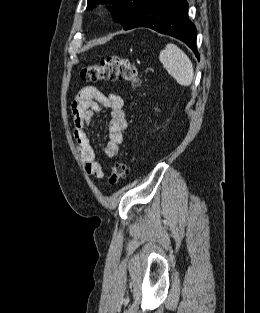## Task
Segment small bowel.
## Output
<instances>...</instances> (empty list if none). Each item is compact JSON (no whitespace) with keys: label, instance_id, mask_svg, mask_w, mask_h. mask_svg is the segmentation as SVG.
<instances>
[{"label":"small bowel","instance_id":"small-bowel-1","mask_svg":"<svg viewBox=\"0 0 260 313\" xmlns=\"http://www.w3.org/2000/svg\"><path fill=\"white\" fill-rule=\"evenodd\" d=\"M103 108L111 110L109 141L105 147V155L113 159L118 155L127 129L123 98L116 94L106 95L97 87L88 85L81 88L72 102L73 132L80 160L86 173L98 179L104 177V169L96 161L95 151L87 135L86 127L91 122L94 113Z\"/></svg>","mask_w":260,"mask_h":313}]
</instances>
